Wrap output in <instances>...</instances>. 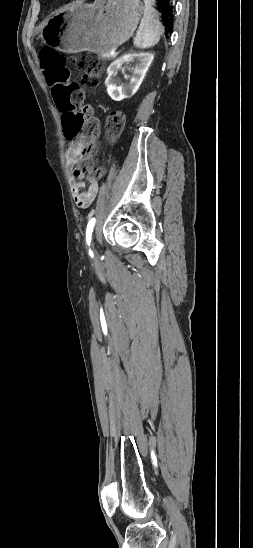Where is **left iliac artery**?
<instances>
[{"label":"left iliac artery","mask_w":253,"mask_h":548,"mask_svg":"<svg viewBox=\"0 0 253 548\" xmlns=\"http://www.w3.org/2000/svg\"><path fill=\"white\" fill-rule=\"evenodd\" d=\"M95 222H96V219L92 218V219H90V221L88 222V225H87L86 242H87L88 245H90V242H91V236H92V232H93V229H94V226H95ZM89 254L91 256L93 255V252L91 251V249H89Z\"/></svg>","instance_id":"left-iliac-artery-1"}]
</instances>
